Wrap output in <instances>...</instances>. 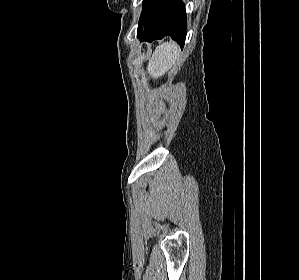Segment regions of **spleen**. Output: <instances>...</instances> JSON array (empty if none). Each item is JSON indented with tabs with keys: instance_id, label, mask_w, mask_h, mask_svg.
I'll return each instance as SVG.
<instances>
[{
	"instance_id": "3e777b00",
	"label": "spleen",
	"mask_w": 299,
	"mask_h": 280,
	"mask_svg": "<svg viewBox=\"0 0 299 280\" xmlns=\"http://www.w3.org/2000/svg\"><path fill=\"white\" fill-rule=\"evenodd\" d=\"M179 60V46L174 42H165L155 49L147 67L148 73L154 78L161 77Z\"/></svg>"
}]
</instances>
